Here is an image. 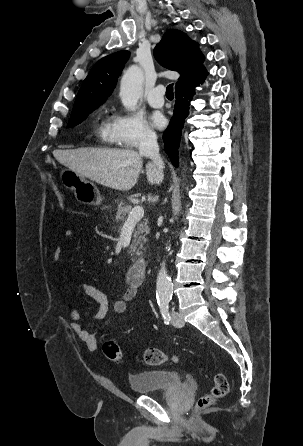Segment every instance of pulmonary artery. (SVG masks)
<instances>
[{"label":"pulmonary artery","mask_w":303,"mask_h":446,"mask_svg":"<svg viewBox=\"0 0 303 446\" xmlns=\"http://www.w3.org/2000/svg\"><path fill=\"white\" fill-rule=\"evenodd\" d=\"M165 88L162 85L154 87L148 94V103L154 108H160L164 105V94Z\"/></svg>","instance_id":"e3ab8cb5"}]
</instances>
